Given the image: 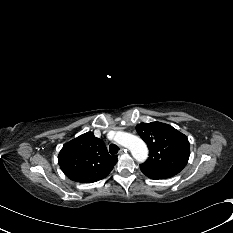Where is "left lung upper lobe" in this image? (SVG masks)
<instances>
[{
  "instance_id": "obj_1",
  "label": "left lung upper lobe",
  "mask_w": 233,
  "mask_h": 233,
  "mask_svg": "<svg viewBox=\"0 0 233 233\" xmlns=\"http://www.w3.org/2000/svg\"><path fill=\"white\" fill-rule=\"evenodd\" d=\"M136 130L149 148V158L140 165L147 177L170 178L186 166L190 155L186 135L161 122L140 123Z\"/></svg>"
}]
</instances>
